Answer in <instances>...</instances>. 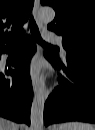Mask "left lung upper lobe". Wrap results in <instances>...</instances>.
Instances as JSON below:
<instances>
[{"mask_svg": "<svg viewBox=\"0 0 95 130\" xmlns=\"http://www.w3.org/2000/svg\"><path fill=\"white\" fill-rule=\"evenodd\" d=\"M56 11L49 30L63 36L67 55L95 58V0H40Z\"/></svg>", "mask_w": 95, "mask_h": 130, "instance_id": "left-lung-upper-lobe-1", "label": "left lung upper lobe"}]
</instances>
